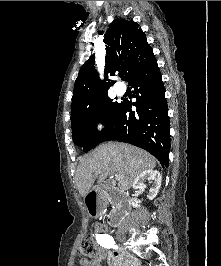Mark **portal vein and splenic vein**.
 <instances>
[{
    "label": "portal vein and splenic vein",
    "instance_id": "18ae733b",
    "mask_svg": "<svg viewBox=\"0 0 221 266\" xmlns=\"http://www.w3.org/2000/svg\"><path fill=\"white\" fill-rule=\"evenodd\" d=\"M115 177H116L117 180H120L121 179V176L120 175H117L116 174Z\"/></svg>",
    "mask_w": 221,
    "mask_h": 266
}]
</instances>
